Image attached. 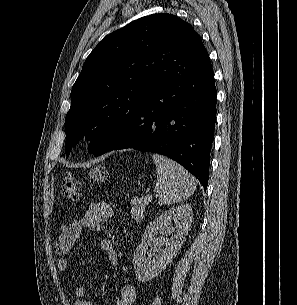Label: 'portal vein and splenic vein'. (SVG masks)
Returning <instances> with one entry per match:
<instances>
[{
    "instance_id": "1",
    "label": "portal vein and splenic vein",
    "mask_w": 297,
    "mask_h": 305,
    "mask_svg": "<svg viewBox=\"0 0 297 305\" xmlns=\"http://www.w3.org/2000/svg\"><path fill=\"white\" fill-rule=\"evenodd\" d=\"M151 199H152L151 195L148 194L145 196V202H149Z\"/></svg>"
}]
</instances>
